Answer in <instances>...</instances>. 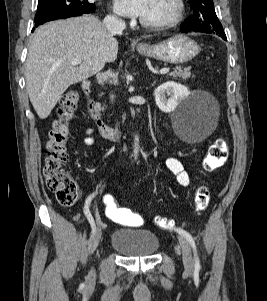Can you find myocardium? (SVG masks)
<instances>
[{
	"label": "myocardium",
	"mask_w": 267,
	"mask_h": 301,
	"mask_svg": "<svg viewBox=\"0 0 267 301\" xmlns=\"http://www.w3.org/2000/svg\"><path fill=\"white\" fill-rule=\"evenodd\" d=\"M174 4L175 11L170 18L159 22H149L140 19V24L145 28L153 30H164L176 26L178 23H180L185 14V2L184 0H174Z\"/></svg>",
	"instance_id": "1"
}]
</instances>
